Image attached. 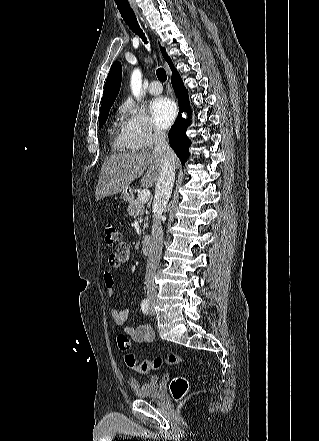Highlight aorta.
Wrapping results in <instances>:
<instances>
[{
    "mask_svg": "<svg viewBox=\"0 0 319 441\" xmlns=\"http://www.w3.org/2000/svg\"><path fill=\"white\" fill-rule=\"evenodd\" d=\"M130 87L132 94L139 99L142 91V74L139 69H134L131 74Z\"/></svg>",
    "mask_w": 319,
    "mask_h": 441,
    "instance_id": "1",
    "label": "aorta"
}]
</instances>
